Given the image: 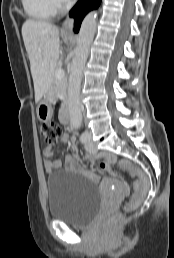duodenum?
<instances>
[{"mask_svg": "<svg viewBox=\"0 0 174 258\" xmlns=\"http://www.w3.org/2000/svg\"><path fill=\"white\" fill-rule=\"evenodd\" d=\"M60 119L64 124L70 123V105L67 99L63 100L61 110H60Z\"/></svg>", "mask_w": 174, "mask_h": 258, "instance_id": "obj_1", "label": "duodenum"}]
</instances>
